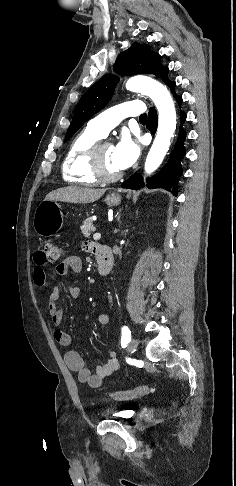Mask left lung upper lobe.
<instances>
[{"label":"left lung upper lobe","mask_w":236,"mask_h":486,"mask_svg":"<svg viewBox=\"0 0 236 486\" xmlns=\"http://www.w3.org/2000/svg\"><path fill=\"white\" fill-rule=\"evenodd\" d=\"M114 72L122 76L153 74L165 82L168 80L169 69L161 64L160 55L150 50L147 44L134 43L118 56ZM118 80L117 76L108 74L85 92L76 107L65 141H68L89 118L105 107L113 95Z\"/></svg>","instance_id":"left-lung-upper-lobe-1"}]
</instances>
